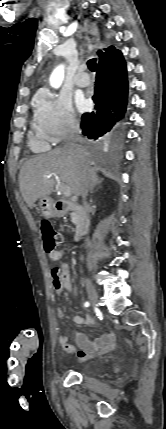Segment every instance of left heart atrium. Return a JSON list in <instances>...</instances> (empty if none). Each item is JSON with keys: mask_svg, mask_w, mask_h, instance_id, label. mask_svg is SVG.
<instances>
[{"mask_svg": "<svg viewBox=\"0 0 166 429\" xmlns=\"http://www.w3.org/2000/svg\"><path fill=\"white\" fill-rule=\"evenodd\" d=\"M76 104L79 110L83 111L86 108V101L82 96H79L76 100Z\"/></svg>", "mask_w": 166, "mask_h": 429, "instance_id": "obj_1", "label": "left heart atrium"}]
</instances>
